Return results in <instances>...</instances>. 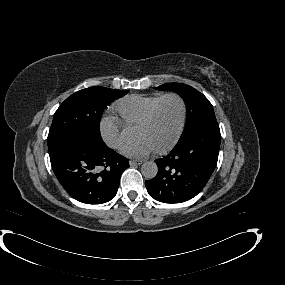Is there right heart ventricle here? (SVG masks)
<instances>
[{"mask_svg": "<svg viewBox=\"0 0 285 285\" xmlns=\"http://www.w3.org/2000/svg\"><path fill=\"white\" fill-rule=\"evenodd\" d=\"M162 96L132 95L121 101L117 110L128 126L138 127L151 113Z\"/></svg>", "mask_w": 285, "mask_h": 285, "instance_id": "right-heart-ventricle-1", "label": "right heart ventricle"}]
</instances>
